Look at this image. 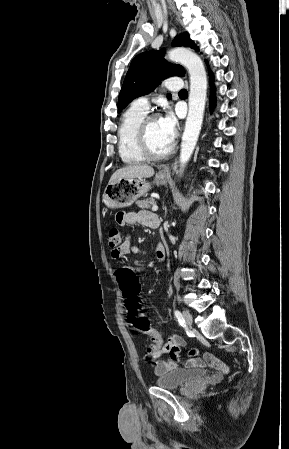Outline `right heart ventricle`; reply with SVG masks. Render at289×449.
I'll return each instance as SVG.
<instances>
[{
    "label": "right heart ventricle",
    "mask_w": 289,
    "mask_h": 449,
    "mask_svg": "<svg viewBox=\"0 0 289 449\" xmlns=\"http://www.w3.org/2000/svg\"><path fill=\"white\" fill-rule=\"evenodd\" d=\"M147 112L132 105L123 114L118 130L119 155L126 164H136L145 160L137 144V133Z\"/></svg>",
    "instance_id": "right-heart-ventricle-1"
}]
</instances>
